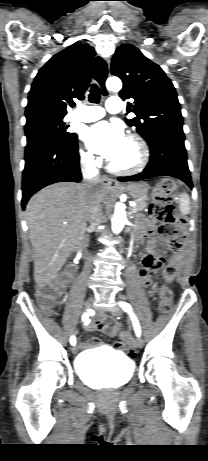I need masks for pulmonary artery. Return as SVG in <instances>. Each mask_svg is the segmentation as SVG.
I'll return each instance as SVG.
<instances>
[{
  "mask_svg": "<svg viewBox=\"0 0 208 461\" xmlns=\"http://www.w3.org/2000/svg\"><path fill=\"white\" fill-rule=\"evenodd\" d=\"M106 109L110 113H118L122 109V101L118 97H110L106 102ZM104 109L99 106H80L71 115V120L81 122H93L104 116Z\"/></svg>",
  "mask_w": 208,
  "mask_h": 461,
  "instance_id": "pulmonary-artery-1",
  "label": "pulmonary artery"
}]
</instances>
